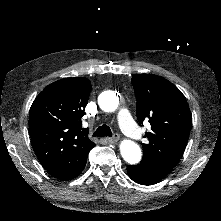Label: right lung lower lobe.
<instances>
[{"label":"right lung lower lobe","instance_id":"obj_1","mask_svg":"<svg viewBox=\"0 0 221 221\" xmlns=\"http://www.w3.org/2000/svg\"><path fill=\"white\" fill-rule=\"evenodd\" d=\"M83 169H84V168H83ZM83 169H82L75 177H77V176L83 171ZM75 177H74V178H75Z\"/></svg>","mask_w":221,"mask_h":221}]
</instances>
